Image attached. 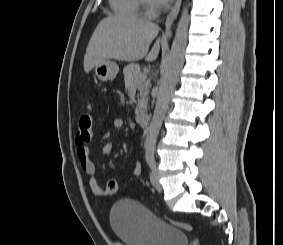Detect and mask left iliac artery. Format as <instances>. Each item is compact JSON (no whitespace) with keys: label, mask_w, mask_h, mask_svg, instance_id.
Masks as SVG:
<instances>
[{"label":"left iliac artery","mask_w":283,"mask_h":245,"mask_svg":"<svg viewBox=\"0 0 283 245\" xmlns=\"http://www.w3.org/2000/svg\"><path fill=\"white\" fill-rule=\"evenodd\" d=\"M146 162L150 168L156 167L155 158H154V149L149 148L146 150Z\"/></svg>","instance_id":"1"}]
</instances>
